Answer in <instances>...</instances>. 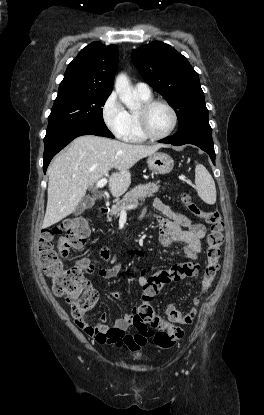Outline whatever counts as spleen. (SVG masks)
<instances>
[{"label":"spleen","instance_id":"3e777b00","mask_svg":"<svg viewBox=\"0 0 264 415\" xmlns=\"http://www.w3.org/2000/svg\"><path fill=\"white\" fill-rule=\"evenodd\" d=\"M195 185L199 197L205 203L213 205L216 202L215 182L204 165L197 162L195 167Z\"/></svg>","mask_w":264,"mask_h":415}]
</instances>
